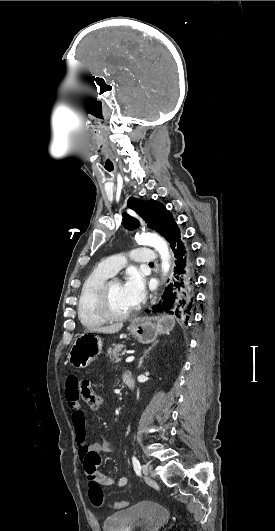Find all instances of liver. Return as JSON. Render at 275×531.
Segmentation results:
<instances>
[{"instance_id":"6515ba94","label":"liver","mask_w":275,"mask_h":531,"mask_svg":"<svg viewBox=\"0 0 275 531\" xmlns=\"http://www.w3.org/2000/svg\"><path fill=\"white\" fill-rule=\"evenodd\" d=\"M122 327L123 323H114L110 327H95V329H91V333H107V335H112V333L121 331Z\"/></svg>"}]
</instances>
